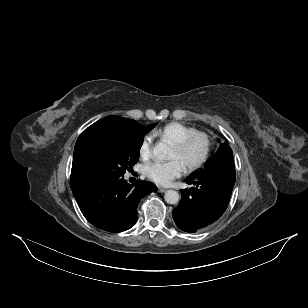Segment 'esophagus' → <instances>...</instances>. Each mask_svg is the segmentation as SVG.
Masks as SVG:
<instances>
[{"instance_id":"1","label":"esophagus","mask_w":308,"mask_h":308,"mask_svg":"<svg viewBox=\"0 0 308 308\" xmlns=\"http://www.w3.org/2000/svg\"><path fill=\"white\" fill-rule=\"evenodd\" d=\"M166 191H167L166 188L158 187V192L164 193V192H166Z\"/></svg>"}]
</instances>
